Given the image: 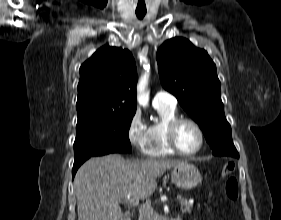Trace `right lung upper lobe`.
Segmentation results:
<instances>
[{
    "instance_id": "obj_1",
    "label": "right lung upper lobe",
    "mask_w": 281,
    "mask_h": 220,
    "mask_svg": "<svg viewBox=\"0 0 281 220\" xmlns=\"http://www.w3.org/2000/svg\"><path fill=\"white\" fill-rule=\"evenodd\" d=\"M137 71L127 49L103 46L80 67L78 118L136 112Z\"/></svg>"
}]
</instances>
